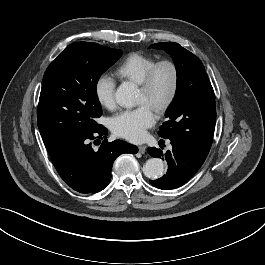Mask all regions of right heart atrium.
Wrapping results in <instances>:
<instances>
[{
	"label": "right heart atrium",
	"instance_id": "d8ad5b80",
	"mask_svg": "<svg viewBox=\"0 0 265 265\" xmlns=\"http://www.w3.org/2000/svg\"><path fill=\"white\" fill-rule=\"evenodd\" d=\"M115 80L107 75L101 74L97 77L94 83V94L97 102L106 109H113L115 107Z\"/></svg>",
	"mask_w": 265,
	"mask_h": 265
}]
</instances>
